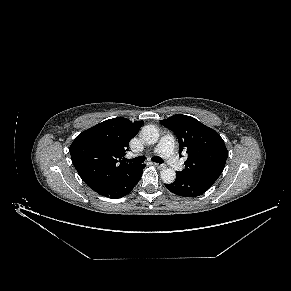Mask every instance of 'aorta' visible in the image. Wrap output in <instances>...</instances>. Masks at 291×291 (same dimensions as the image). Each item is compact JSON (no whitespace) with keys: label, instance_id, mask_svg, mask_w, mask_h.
I'll use <instances>...</instances> for the list:
<instances>
[{"label":"aorta","instance_id":"aorta-1","mask_svg":"<svg viewBox=\"0 0 291 291\" xmlns=\"http://www.w3.org/2000/svg\"><path fill=\"white\" fill-rule=\"evenodd\" d=\"M140 137L148 144H155L159 140V131L154 125H146L142 128ZM161 178L164 183H173L176 179L175 170L172 168H164L161 171Z\"/></svg>","mask_w":291,"mask_h":291}]
</instances>
